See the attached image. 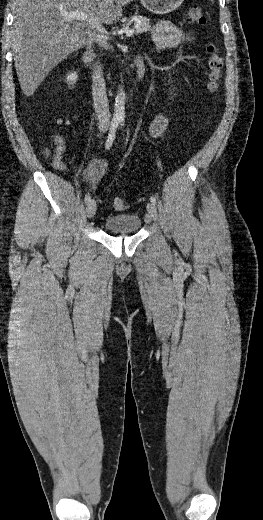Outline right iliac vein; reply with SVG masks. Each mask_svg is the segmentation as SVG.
Segmentation results:
<instances>
[{
  "mask_svg": "<svg viewBox=\"0 0 263 520\" xmlns=\"http://www.w3.org/2000/svg\"><path fill=\"white\" fill-rule=\"evenodd\" d=\"M96 209H97V206H96V202L95 200H90L87 204V207H86V213H87V216L89 218H92L95 213H96Z\"/></svg>",
  "mask_w": 263,
  "mask_h": 520,
  "instance_id": "1",
  "label": "right iliac vein"
}]
</instances>
